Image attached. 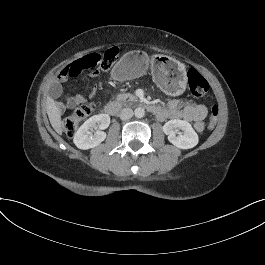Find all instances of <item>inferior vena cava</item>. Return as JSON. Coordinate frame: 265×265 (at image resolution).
I'll list each match as a JSON object with an SVG mask.
<instances>
[{
    "label": "inferior vena cava",
    "mask_w": 265,
    "mask_h": 265,
    "mask_svg": "<svg viewBox=\"0 0 265 265\" xmlns=\"http://www.w3.org/2000/svg\"><path fill=\"white\" fill-rule=\"evenodd\" d=\"M132 116H133V111H132V109H130V108H125V109L122 110V112H121V114H120V119H121L122 121H126V120L132 118Z\"/></svg>",
    "instance_id": "602c4592"
}]
</instances>
